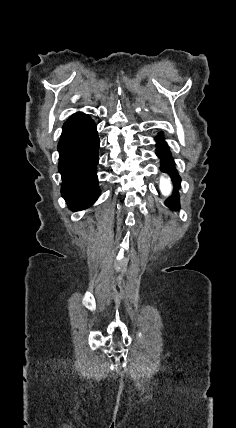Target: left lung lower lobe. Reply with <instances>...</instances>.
Segmentation results:
<instances>
[{
    "label": "left lung lower lobe",
    "mask_w": 236,
    "mask_h": 428,
    "mask_svg": "<svg viewBox=\"0 0 236 428\" xmlns=\"http://www.w3.org/2000/svg\"><path fill=\"white\" fill-rule=\"evenodd\" d=\"M158 152L157 155L161 159V167L160 170L166 172L170 175L173 182L176 186H174V194L173 197L166 200V205L172 210H178L180 208L179 201V193L177 189L180 188V176L178 175L176 169L174 168V160L171 156V153L168 149L164 138L160 135L156 137Z\"/></svg>",
    "instance_id": "0a47b994"
}]
</instances>
